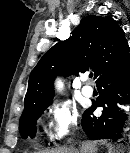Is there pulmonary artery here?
<instances>
[{
    "instance_id": "1",
    "label": "pulmonary artery",
    "mask_w": 130,
    "mask_h": 153,
    "mask_svg": "<svg viewBox=\"0 0 130 153\" xmlns=\"http://www.w3.org/2000/svg\"><path fill=\"white\" fill-rule=\"evenodd\" d=\"M93 93H94L93 88L90 86H84L82 88V94L86 97H91Z\"/></svg>"
}]
</instances>
